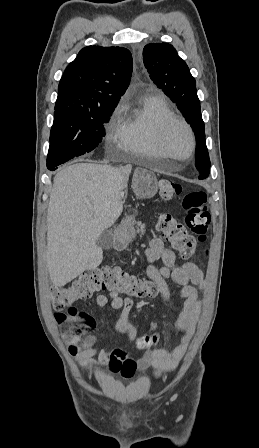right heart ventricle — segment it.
Wrapping results in <instances>:
<instances>
[{
	"label": "right heart ventricle",
	"instance_id": "right-heart-ventricle-1",
	"mask_svg": "<svg viewBox=\"0 0 259 448\" xmlns=\"http://www.w3.org/2000/svg\"><path fill=\"white\" fill-rule=\"evenodd\" d=\"M174 111L158 91L141 94L134 101H121L115 114V125L122 147L127 150L122 163H144L147 150H157V132L162 121L173 117Z\"/></svg>",
	"mask_w": 259,
	"mask_h": 448
}]
</instances>
